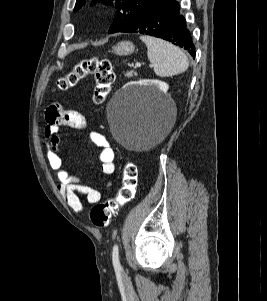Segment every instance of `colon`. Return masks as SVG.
I'll return each mask as SVG.
<instances>
[{
    "label": "colon",
    "instance_id": "1",
    "mask_svg": "<svg viewBox=\"0 0 267 301\" xmlns=\"http://www.w3.org/2000/svg\"><path fill=\"white\" fill-rule=\"evenodd\" d=\"M87 75L95 78L93 101L96 105H101L109 95L115 81V73L111 62L107 59L91 57L80 61L70 72L58 79L56 87L60 90H67ZM136 186V167L128 163L124 166L122 182L117 194L92 207L90 212L92 223L98 228L108 227L117 209L134 198Z\"/></svg>",
    "mask_w": 267,
    "mask_h": 301
}]
</instances>
